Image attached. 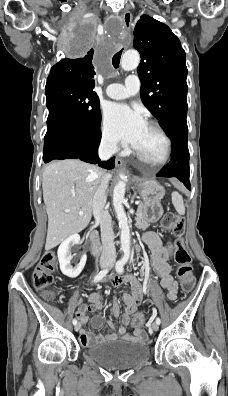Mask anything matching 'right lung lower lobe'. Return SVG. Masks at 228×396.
Returning <instances> with one entry per match:
<instances>
[{"instance_id": "obj_1", "label": "right lung lower lobe", "mask_w": 228, "mask_h": 396, "mask_svg": "<svg viewBox=\"0 0 228 396\" xmlns=\"http://www.w3.org/2000/svg\"><path fill=\"white\" fill-rule=\"evenodd\" d=\"M101 139L100 128L89 138L80 140L65 130L47 132L44 138V163L54 159H80L97 164L105 169L114 168V159L101 162L98 157V146Z\"/></svg>"}]
</instances>
